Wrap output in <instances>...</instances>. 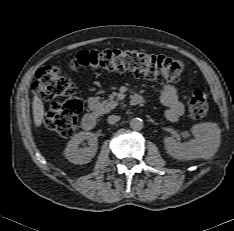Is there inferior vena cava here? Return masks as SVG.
Segmentation results:
<instances>
[{"mask_svg": "<svg viewBox=\"0 0 234 231\" xmlns=\"http://www.w3.org/2000/svg\"><path fill=\"white\" fill-rule=\"evenodd\" d=\"M119 120H120V117L117 116V115H110L108 117V123L111 124V125L117 123Z\"/></svg>", "mask_w": 234, "mask_h": 231, "instance_id": "602c4592", "label": "inferior vena cava"}]
</instances>
